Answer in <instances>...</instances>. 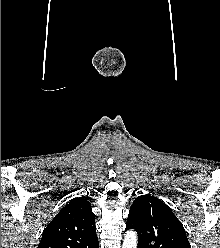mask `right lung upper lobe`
<instances>
[{
    "label": "right lung upper lobe",
    "instance_id": "right-lung-upper-lobe-1",
    "mask_svg": "<svg viewBox=\"0 0 220 248\" xmlns=\"http://www.w3.org/2000/svg\"><path fill=\"white\" fill-rule=\"evenodd\" d=\"M94 216L86 198L73 199L48 224L38 248H92L98 243Z\"/></svg>",
    "mask_w": 220,
    "mask_h": 248
}]
</instances>
